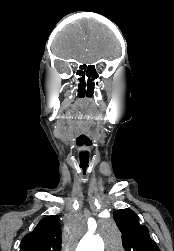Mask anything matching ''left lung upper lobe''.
Returning a JSON list of instances; mask_svg holds the SVG:
<instances>
[{"mask_svg": "<svg viewBox=\"0 0 174 251\" xmlns=\"http://www.w3.org/2000/svg\"><path fill=\"white\" fill-rule=\"evenodd\" d=\"M114 220L122 233L125 251H160L150 238L146 226L139 223L138 216L130 209L116 210Z\"/></svg>", "mask_w": 174, "mask_h": 251, "instance_id": "left-lung-upper-lobe-1", "label": "left lung upper lobe"}]
</instances>
